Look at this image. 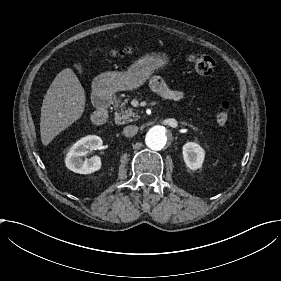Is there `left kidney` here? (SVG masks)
I'll list each match as a JSON object with an SVG mask.
<instances>
[{"instance_id": "obj_1", "label": "left kidney", "mask_w": 281, "mask_h": 281, "mask_svg": "<svg viewBox=\"0 0 281 281\" xmlns=\"http://www.w3.org/2000/svg\"><path fill=\"white\" fill-rule=\"evenodd\" d=\"M205 157L204 149L195 142H188L183 146V158L187 167L197 170L202 167Z\"/></svg>"}]
</instances>
